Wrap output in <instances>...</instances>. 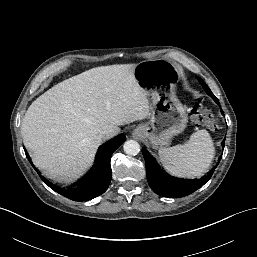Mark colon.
I'll return each mask as SVG.
<instances>
[{"mask_svg":"<svg viewBox=\"0 0 257 257\" xmlns=\"http://www.w3.org/2000/svg\"><path fill=\"white\" fill-rule=\"evenodd\" d=\"M191 118L197 125L206 126L213 131H217L219 128L213 115L200 104H195L193 106Z\"/></svg>","mask_w":257,"mask_h":257,"instance_id":"1","label":"colon"}]
</instances>
